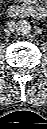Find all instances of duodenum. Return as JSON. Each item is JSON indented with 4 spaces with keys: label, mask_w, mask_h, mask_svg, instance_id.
<instances>
[{
    "label": "duodenum",
    "mask_w": 47,
    "mask_h": 129,
    "mask_svg": "<svg viewBox=\"0 0 47 129\" xmlns=\"http://www.w3.org/2000/svg\"><path fill=\"white\" fill-rule=\"evenodd\" d=\"M8 13L12 18L16 19L30 16L41 19L46 14L44 8L32 5H11L8 8Z\"/></svg>",
    "instance_id": "duodenum-1"
}]
</instances>
